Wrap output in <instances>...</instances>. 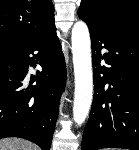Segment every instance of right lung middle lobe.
<instances>
[{
  "label": "right lung middle lobe",
  "mask_w": 139,
  "mask_h": 150,
  "mask_svg": "<svg viewBox=\"0 0 139 150\" xmlns=\"http://www.w3.org/2000/svg\"><path fill=\"white\" fill-rule=\"evenodd\" d=\"M14 47L8 45H0V54L13 50Z\"/></svg>",
  "instance_id": "obj_1"
}]
</instances>
